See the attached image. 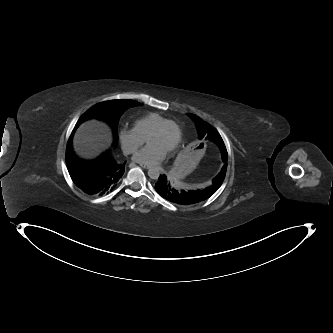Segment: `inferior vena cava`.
I'll list each match as a JSON object with an SVG mask.
<instances>
[{"label":"inferior vena cava","instance_id":"602c4592","mask_svg":"<svg viewBox=\"0 0 333 333\" xmlns=\"http://www.w3.org/2000/svg\"><path fill=\"white\" fill-rule=\"evenodd\" d=\"M130 153V151H124V154L125 155H127V154H129Z\"/></svg>","mask_w":333,"mask_h":333}]
</instances>
